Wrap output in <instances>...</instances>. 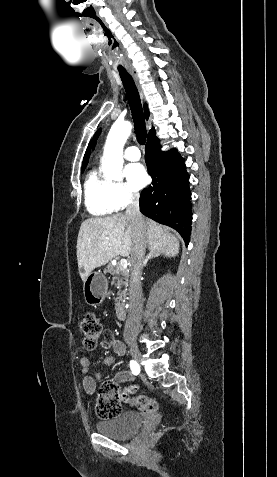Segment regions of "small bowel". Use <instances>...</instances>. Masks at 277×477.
<instances>
[{
    "label": "small bowel",
    "instance_id": "obj_1",
    "mask_svg": "<svg viewBox=\"0 0 277 477\" xmlns=\"http://www.w3.org/2000/svg\"><path fill=\"white\" fill-rule=\"evenodd\" d=\"M101 346L104 349H112L114 353L118 356H123L125 354L124 343L117 339L109 330L104 332V338L101 342ZM115 360L116 359L114 356H108L102 360V364L111 365L115 362ZM80 364L82 366L81 382L83 389L87 394L92 395L95 393L96 390V380H100L102 378V374L101 372H97L95 374V377L89 374V370L92 365V359L89 357H83L80 360ZM127 381H134V375L129 371H120L114 376V382H116L117 384Z\"/></svg>",
    "mask_w": 277,
    "mask_h": 477
}]
</instances>
